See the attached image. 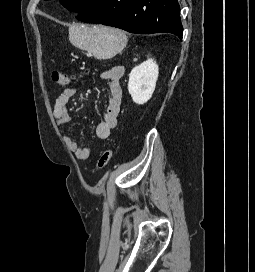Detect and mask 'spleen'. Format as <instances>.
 Returning <instances> with one entry per match:
<instances>
[{
    "instance_id": "obj_1",
    "label": "spleen",
    "mask_w": 255,
    "mask_h": 272,
    "mask_svg": "<svg viewBox=\"0 0 255 272\" xmlns=\"http://www.w3.org/2000/svg\"><path fill=\"white\" fill-rule=\"evenodd\" d=\"M70 42L80 49L93 53L97 59H110L127 44L124 31L102 25L73 24L69 27Z\"/></svg>"
}]
</instances>
